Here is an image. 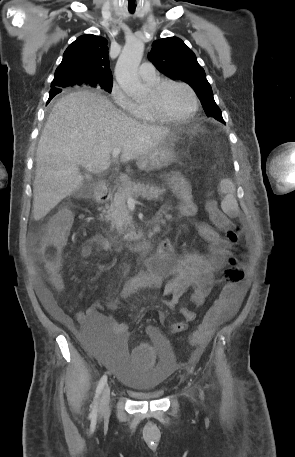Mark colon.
Segmentation results:
<instances>
[{
    "label": "colon",
    "instance_id": "1",
    "mask_svg": "<svg viewBox=\"0 0 295 457\" xmlns=\"http://www.w3.org/2000/svg\"><path fill=\"white\" fill-rule=\"evenodd\" d=\"M206 210L211 221L226 233L228 240L237 243L240 237V227L234 224L217 206L214 200L206 202ZM72 216L68 210L58 212L49 222L38 245L41 261L50 274L57 289L63 288L60 277L62 267V250L71 226ZM244 270L235 257H230L228 266L223 272L225 285L213 306L204 316L202 322L190 337V343L196 347L204 346L210 339L215 326L223 316L233 311L241 295L240 285L244 280ZM132 354L136 366L144 370L152 366L157 353L152 346H133Z\"/></svg>",
    "mask_w": 295,
    "mask_h": 457
}]
</instances>
